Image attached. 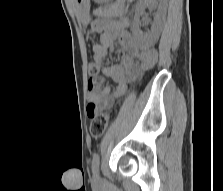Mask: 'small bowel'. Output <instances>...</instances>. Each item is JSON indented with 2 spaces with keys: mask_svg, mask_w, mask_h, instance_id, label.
Masks as SVG:
<instances>
[{
  "mask_svg": "<svg viewBox=\"0 0 223 191\" xmlns=\"http://www.w3.org/2000/svg\"><path fill=\"white\" fill-rule=\"evenodd\" d=\"M118 6H109L97 9V19L92 22L91 31L99 34L100 44L94 45V61L100 67L102 73L117 83V88L112 91L106 85L99 90L104 82L103 77L90 79L88 83L89 108L107 109L116 97L121 96L127 90L128 81L133 79L141 70L153 67L158 58L157 50L154 48L141 49L140 45L128 31L129 21L127 19H113V15L119 12ZM115 40H118L121 49L126 56L119 62L105 66L104 61L108 56V49L114 48Z\"/></svg>",
  "mask_w": 223,
  "mask_h": 191,
  "instance_id": "small-bowel-1",
  "label": "small bowel"
}]
</instances>
